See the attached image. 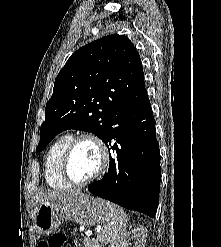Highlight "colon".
I'll return each instance as SVG.
<instances>
[{"instance_id":"obj_1","label":"colon","mask_w":221,"mask_h":247,"mask_svg":"<svg viewBox=\"0 0 221 247\" xmlns=\"http://www.w3.org/2000/svg\"><path fill=\"white\" fill-rule=\"evenodd\" d=\"M66 238L63 235H54L47 240L39 242V247H65Z\"/></svg>"}]
</instances>
